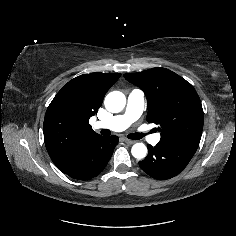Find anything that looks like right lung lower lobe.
<instances>
[{
	"instance_id": "1",
	"label": "right lung lower lobe",
	"mask_w": 236,
	"mask_h": 236,
	"mask_svg": "<svg viewBox=\"0 0 236 236\" xmlns=\"http://www.w3.org/2000/svg\"><path fill=\"white\" fill-rule=\"evenodd\" d=\"M118 140L115 135L99 136L59 170L77 180L95 177L106 167Z\"/></svg>"
}]
</instances>
